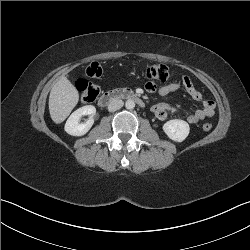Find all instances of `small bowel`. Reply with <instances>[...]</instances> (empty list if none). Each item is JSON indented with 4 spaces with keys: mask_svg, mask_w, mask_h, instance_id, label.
<instances>
[{
    "mask_svg": "<svg viewBox=\"0 0 250 250\" xmlns=\"http://www.w3.org/2000/svg\"><path fill=\"white\" fill-rule=\"evenodd\" d=\"M148 92H157L160 96H167L181 88L196 101H202L203 95L197 90L188 76H183L180 83H168L163 85H156L154 81L149 80L145 84ZM215 102L212 100L203 101L202 108L196 110L194 113L186 116V120L190 124H196L206 118H210L215 113ZM152 112L159 120H165L169 113H179L180 110L168 103H158L152 107Z\"/></svg>",
    "mask_w": 250,
    "mask_h": 250,
    "instance_id": "small-bowel-1",
    "label": "small bowel"
}]
</instances>
